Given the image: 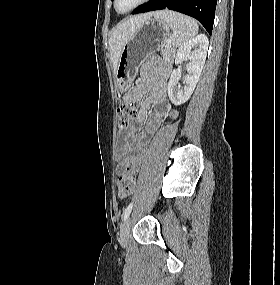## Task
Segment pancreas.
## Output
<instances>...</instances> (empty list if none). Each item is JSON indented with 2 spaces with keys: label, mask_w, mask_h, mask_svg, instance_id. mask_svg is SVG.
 I'll return each mask as SVG.
<instances>
[{
  "label": "pancreas",
  "mask_w": 280,
  "mask_h": 285,
  "mask_svg": "<svg viewBox=\"0 0 280 285\" xmlns=\"http://www.w3.org/2000/svg\"><path fill=\"white\" fill-rule=\"evenodd\" d=\"M175 52V49L171 47H165V49L161 50V55L165 61L172 62L175 56Z\"/></svg>",
  "instance_id": "1"
}]
</instances>
